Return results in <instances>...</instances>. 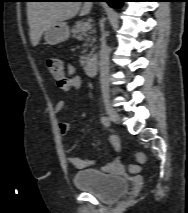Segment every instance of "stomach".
Listing matches in <instances>:
<instances>
[{
	"label": "stomach",
	"instance_id": "1",
	"mask_svg": "<svg viewBox=\"0 0 188 213\" xmlns=\"http://www.w3.org/2000/svg\"><path fill=\"white\" fill-rule=\"evenodd\" d=\"M70 36L69 27L65 22H58L44 31V39L49 45H56L68 40Z\"/></svg>",
	"mask_w": 188,
	"mask_h": 213
}]
</instances>
